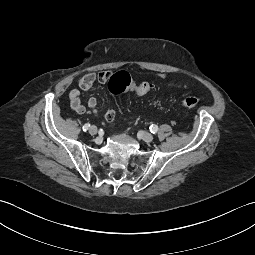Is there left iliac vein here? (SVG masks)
Listing matches in <instances>:
<instances>
[{"label": "left iliac vein", "mask_w": 255, "mask_h": 255, "mask_svg": "<svg viewBox=\"0 0 255 255\" xmlns=\"http://www.w3.org/2000/svg\"><path fill=\"white\" fill-rule=\"evenodd\" d=\"M139 136L143 141L148 142V143L151 142L154 138L152 134H150L148 132H144V131H140Z\"/></svg>", "instance_id": "4c4485c4"}]
</instances>
